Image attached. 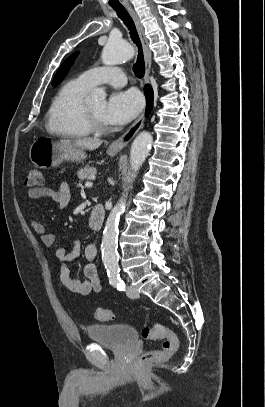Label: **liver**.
<instances>
[{"label":"liver","instance_id":"1","mask_svg":"<svg viewBox=\"0 0 265 407\" xmlns=\"http://www.w3.org/2000/svg\"><path fill=\"white\" fill-rule=\"evenodd\" d=\"M59 143L62 145H65V146L71 145V146L93 151L101 146L102 141L99 139L85 138V139H77L75 141L61 140Z\"/></svg>","mask_w":265,"mask_h":407}]
</instances>
